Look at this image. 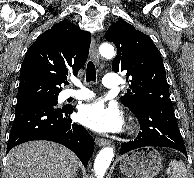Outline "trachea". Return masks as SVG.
Segmentation results:
<instances>
[{
    "instance_id": "3493384b",
    "label": "trachea",
    "mask_w": 194,
    "mask_h": 178,
    "mask_svg": "<svg viewBox=\"0 0 194 178\" xmlns=\"http://www.w3.org/2000/svg\"><path fill=\"white\" fill-rule=\"evenodd\" d=\"M95 81H96L95 65L92 61H89L86 69V82H95Z\"/></svg>"
}]
</instances>
